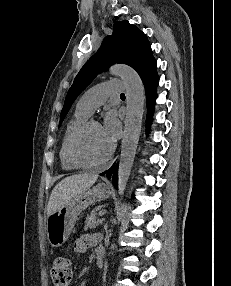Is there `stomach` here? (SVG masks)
Wrapping results in <instances>:
<instances>
[{
	"label": "stomach",
	"instance_id": "0dacf381",
	"mask_svg": "<svg viewBox=\"0 0 231 286\" xmlns=\"http://www.w3.org/2000/svg\"><path fill=\"white\" fill-rule=\"evenodd\" d=\"M112 193L107 183H98L74 196L60 210L47 217V239L52 247L62 246L70 236L78 216L90 205L107 199Z\"/></svg>",
	"mask_w": 231,
	"mask_h": 286
}]
</instances>
